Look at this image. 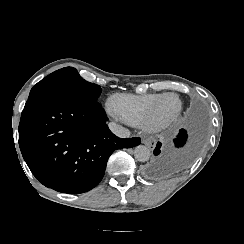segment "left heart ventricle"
Masks as SVG:
<instances>
[{"label":"left heart ventricle","instance_id":"obj_1","mask_svg":"<svg viewBox=\"0 0 244 244\" xmlns=\"http://www.w3.org/2000/svg\"><path fill=\"white\" fill-rule=\"evenodd\" d=\"M176 105H177L176 99L171 96L163 98L160 102V108L165 114V116L169 115L176 107Z\"/></svg>","mask_w":244,"mask_h":244}]
</instances>
